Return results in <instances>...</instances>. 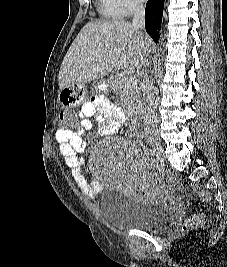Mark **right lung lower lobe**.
Instances as JSON below:
<instances>
[{"mask_svg":"<svg viewBox=\"0 0 227 267\" xmlns=\"http://www.w3.org/2000/svg\"><path fill=\"white\" fill-rule=\"evenodd\" d=\"M164 0H148L145 8V28L151 38L157 43L158 31L161 28Z\"/></svg>","mask_w":227,"mask_h":267,"instance_id":"98d812e1","label":"right lung lower lobe"}]
</instances>
